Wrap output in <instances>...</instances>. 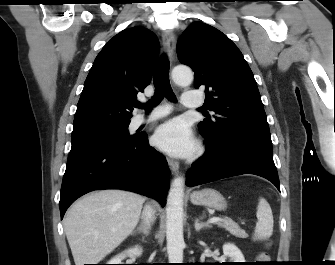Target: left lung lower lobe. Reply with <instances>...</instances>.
Here are the masks:
<instances>
[{"label":"left lung lower lobe","mask_w":335,"mask_h":265,"mask_svg":"<svg viewBox=\"0 0 335 265\" xmlns=\"http://www.w3.org/2000/svg\"><path fill=\"white\" fill-rule=\"evenodd\" d=\"M205 156L193 163L187 186L193 187L241 174H255L271 181L280 191L272 143L246 136L208 138Z\"/></svg>","instance_id":"obj_1"}]
</instances>
